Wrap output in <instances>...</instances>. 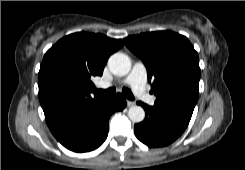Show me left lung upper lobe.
<instances>
[{
    "mask_svg": "<svg viewBox=\"0 0 245 170\" xmlns=\"http://www.w3.org/2000/svg\"><path fill=\"white\" fill-rule=\"evenodd\" d=\"M124 42L145 64L155 103L193 112L200 68L190 41L171 31H157L129 36Z\"/></svg>",
    "mask_w": 245,
    "mask_h": 170,
    "instance_id": "obj_1",
    "label": "left lung upper lobe"
}]
</instances>
